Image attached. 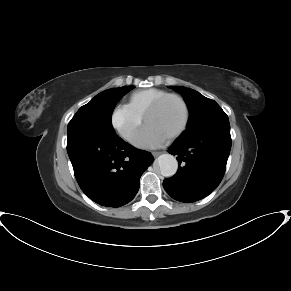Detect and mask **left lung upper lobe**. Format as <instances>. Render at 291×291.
<instances>
[{
    "label": "left lung upper lobe",
    "instance_id": "obj_1",
    "mask_svg": "<svg viewBox=\"0 0 291 291\" xmlns=\"http://www.w3.org/2000/svg\"><path fill=\"white\" fill-rule=\"evenodd\" d=\"M170 88L184 97L189 109L187 129L180 137H186L213 124L228 121V116L214 100L206 98L193 89L181 86H170Z\"/></svg>",
    "mask_w": 291,
    "mask_h": 291
}]
</instances>
